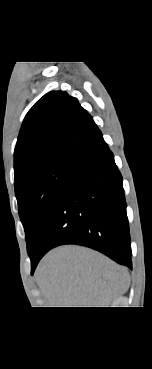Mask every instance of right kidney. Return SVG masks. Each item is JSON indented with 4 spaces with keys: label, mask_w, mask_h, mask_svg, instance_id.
<instances>
[{
    "label": "right kidney",
    "mask_w": 152,
    "mask_h": 369,
    "mask_svg": "<svg viewBox=\"0 0 152 369\" xmlns=\"http://www.w3.org/2000/svg\"><path fill=\"white\" fill-rule=\"evenodd\" d=\"M119 303H120V300H119V299L115 300V301L113 302L112 307H118V304H119Z\"/></svg>",
    "instance_id": "1"
}]
</instances>
